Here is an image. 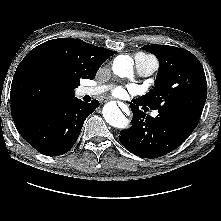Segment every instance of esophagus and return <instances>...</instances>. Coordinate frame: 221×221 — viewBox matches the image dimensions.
Segmentation results:
<instances>
[{
    "instance_id": "1",
    "label": "esophagus",
    "mask_w": 221,
    "mask_h": 221,
    "mask_svg": "<svg viewBox=\"0 0 221 221\" xmlns=\"http://www.w3.org/2000/svg\"><path fill=\"white\" fill-rule=\"evenodd\" d=\"M107 101H108V98H105V99H104V102H107ZM123 106H125V104H122V107H123Z\"/></svg>"
}]
</instances>
